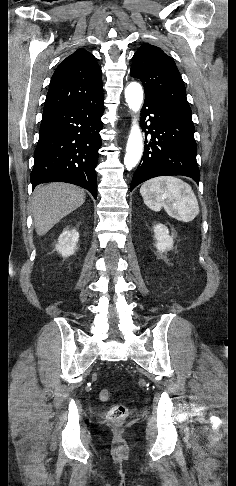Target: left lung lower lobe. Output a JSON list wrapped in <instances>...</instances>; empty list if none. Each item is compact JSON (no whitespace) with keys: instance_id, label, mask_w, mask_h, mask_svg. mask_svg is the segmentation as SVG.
<instances>
[{"instance_id":"left-lung-lower-lobe-1","label":"left lung lower lobe","mask_w":236,"mask_h":486,"mask_svg":"<svg viewBox=\"0 0 236 486\" xmlns=\"http://www.w3.org/2000/svg\"><path fill=\"white\" fill-rule=\"evenodd\" d=\"M146 118L150 125L146 121L145 136L151 135V140L145 144L130 191L148 179L166 175H183L198 183L200 172L192 118L178 115L156 99L145 96L141 122Z\"/></svg>"}]
</instances>
